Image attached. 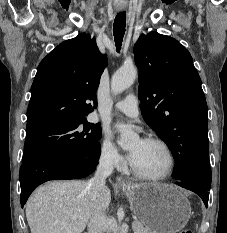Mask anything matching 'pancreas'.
I'll list each match as a JSON object with an SVG mask.
<instances>
[{
	"instance_id": "pancreas-1",
	"label": "pancreas",
	"mask_w": 227,
	"mask_h": 233,
	"mask_svg": "<svg viewBox=\"0 0 227 233\" xmlns=\"http://www.w3.org/2000/svg\"><path fill=\"white\" fill-rule=\"evenodd\" d=\"M133 230L136 233H151L148 229H146L142 223L138 220H135L132 224Z\"/></svg>"
}]
</instances>
